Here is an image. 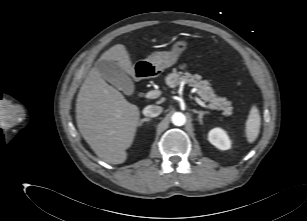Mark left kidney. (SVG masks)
Wrapping results in <instances>:
<instances>
[{
    "instance_id": "left-kidney-1",
    "label": "left kidney",
    "mask_w": 307,
    "mask_h": 221,
    "mask_svg": "<svg viewBox=\"0 0 307 221\" xmlns=\"http://www.w3.org/2000/svg\"><path fill=\"white\" fill-rule=\"evenodd\" d=\"M209 142L220 150L231 148V141L226 132L221 128H213L208 133Z\"/></svg>"
}]
</instances>
